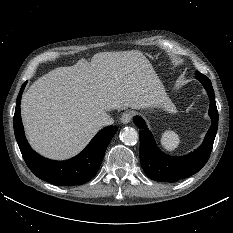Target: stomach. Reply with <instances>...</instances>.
<instances>
[{
    "label": "stomach",
    "instance_id": "1",
    "mask_svg": "<svg viewBox=\"0 0 233 233\" xmlns=\"http://www.w3.org/2000/svg\"><path fill=\"white\" fill-rule=\"evenodd\" d=\"M158 92H160L162 95L165 96V91H164V87L162 85V83L160 82L159 86H158Z\"/></svg>",
    "mask_w": 233,
    "mask_h": 233
}]
</instances>
